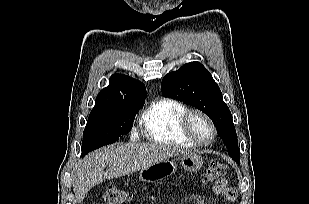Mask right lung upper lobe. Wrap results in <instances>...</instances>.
I'll use <instances>...</instances> for the list:
<instances>
[{"instance_id": "cb5924a9", "label": "right lung upper lobe", "mask_w": 309, "mask_h": 204, "mask_svg": "<svg viewBox=\"0 0 309 204\" xmlns=\"http://www.w3.org/2000/svg\"><path fill=\"white\" fill-rule=\"evenodd\" d=\"M146 96L143 83L125 75L114 74L110 78L109 86L103 88L98 94L96 105L118 100L143 99Z\"/></svg>"}]
</instances>
